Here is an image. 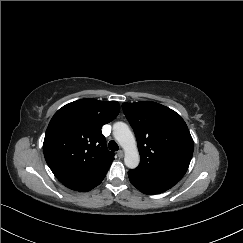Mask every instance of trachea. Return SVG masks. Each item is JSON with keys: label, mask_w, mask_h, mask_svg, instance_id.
Returning <instances> with one entry per match:
<instances>
[{"label": "trachea", "mask_w": 243, "mask_h": 243, "mask_svg": "<svg viewBox=\"0 0 243 243\" xmlns=\"http://www.w3.org/2000/svg\"><path fill=\"white\" fill-rule=\"evenodd\" d=\"M109 149L113 152L115 151H118L119 150V146L117 145V143L114 141V140H111L109 142V145H108Z\"/></svg>", "instance_id": "obj_1"}]
</instances>
